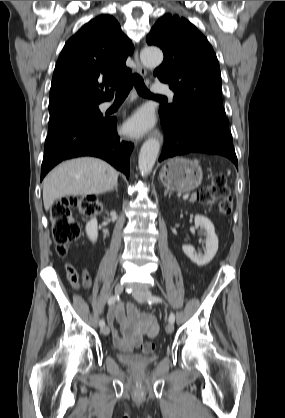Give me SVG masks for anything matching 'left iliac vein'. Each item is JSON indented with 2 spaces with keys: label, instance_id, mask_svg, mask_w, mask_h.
Returning <instances> with one entry per match:
<instances>
[{
  "label": "left iliac vein",
  "instance_id": "obj_1",
  "mask_svg": "<svg viewBox=\"0 0 285 418\" xmlns=\"http://www.w3.org/2000/svg\"><path fill=\"white\" fill-rule=\"evenodd\" d=\"M133 296L137 301L144 302L149 297H151L152 294L148 290H137V291L133 292ZM165 330L168 334H171L174 331V324L173 323H168Z\"/></svg>",
  "mask_w": 285,
  "mask_h": 418
}]
</instances>
